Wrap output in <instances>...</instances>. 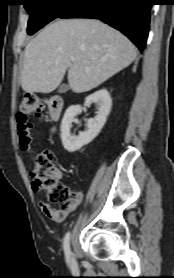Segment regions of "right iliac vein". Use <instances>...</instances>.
<instances>
[{
	"label": "right iliac vein",
	"instance_id": "right-iliac-vein-1",
	"mask_svg": "<svg viewBox=\"0 0 174 278\" xmlns=\"http://www.w3.org/2000/svg\"><path fill=\"white\" fill-rule=\"evenodd\" d=\"M70 263L72 267L76 266V260L73 256L70 258Z\"/></svg>",
	"mask_w": 174,
	"mask_h": 278
}]
</instances>
